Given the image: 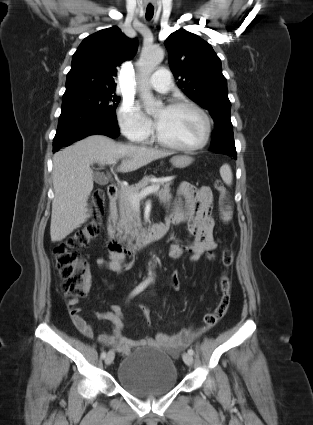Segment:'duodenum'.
<instances>
[{"label":"duodenum","mask_w":313,"mask_h":425,"mask_svg":"<svg viewBox=\"0 0 313 425\" xmlns=\"http://www.w3.org/2000/svg\"><path fill=\"white\" fill-rule=\"evenodd\" d=\"M118 194V188L116 185H109L107 188V195L109 200V219L107 223V229L105 234V243L108 249L112 252H117L126 255H133L142 247L147 245L153 240L161 239L166 233V226L154 225L151 228L143 231L136 242L132 245H125L116 235L114 230V220L117 216L116 209V197Z\"/></svg>","instance_id":"410a0bca"}]
</instances>
